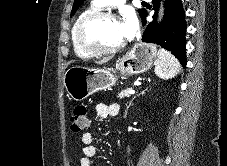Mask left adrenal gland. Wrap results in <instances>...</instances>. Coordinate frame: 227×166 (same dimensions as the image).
<instances>
[{
	"label": "left adrenal gland",
	"instance_id": "1",
	"mask_svg": "<svg viewBox=\"0 0 227 166\" xmlns=\"http://www.w3.org/2000/svg\"><path fill=\"white\" fill-rule=\"evenodd\" d=\"M145 91H147V89L143 90L139 95L145 94ZM139 95H138V96H139ZM136 97H137V96H134V97L132 98V100L129 102V104L127 105V108H126V111H125V116H126V114H127V111H128V109H129V107L132 105L133 100H134Z\"/></svg>",
	"mask_w": 227,
	"mask_h": 166
}]
</instances>
